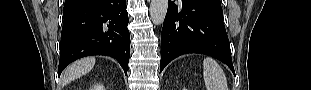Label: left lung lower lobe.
Returning <instances> with one entry per match:
<instances>
[{"mask_svg":"<svg viewBox=\"0 0 311 90\" xmlns=\"http://www.w3.org/2000/svg\"><path fill=\"white\" fill-rule=\"evenodd\" d=\"M200 53L217 58L235 74L221 6L206 0H169L161 35L160 72L176 57Z\"/></svg>","mask_w":311,"mask_h":90,"instance_id":"0a47b994","label":"left lung lower lobe"}]
</instances>
